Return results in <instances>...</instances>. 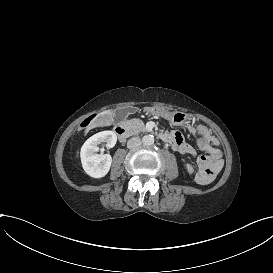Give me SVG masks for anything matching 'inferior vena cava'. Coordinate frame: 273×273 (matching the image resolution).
Wrapping results in <instances>:
<instances>
[{
	"label": "inferior vena cava",
	"instance_id": "1",
	"mask_svg": "<svg viewBox=\"0 0 273 273\" xmlns=\"http://www.w3.org/2000/svg\"><path fill=\"white\" fill-rule=\"evenodd\" d=\"M141 145V140L138 137H132L127 142V147L129 149L136 148Z\"/></svg>",
	"mask_w": 273,
	"mask_h": 273
}]
</instances>
